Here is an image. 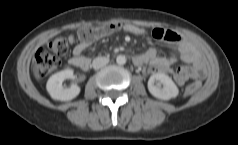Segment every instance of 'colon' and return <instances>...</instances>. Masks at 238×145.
<instances>
[{
    "instance_id": "obj_1",
    "label": "colon",
    "mask_w": 238,
    "mask_h": 145,
    "mask_svg": "<svg viewBox=\"0 0 238 145\" xmlns=\"http://www.w3.org/2000/svg\"><path fill=\"white\" fill-rule=\"evenodd\" d=\"M124 24L109 23L99 27H86L77 33L79 44L87 46L88 44L98 40L111 32L123 28ZM68 51V42L65 38L58 37L53 39L46 47L40 48L34 60L36 73L45 77L54 72L60 65V58ZM201 84L194 82L189 84L185 89L186 95L195 93Z\"/></svg>"
}]
</instances>
